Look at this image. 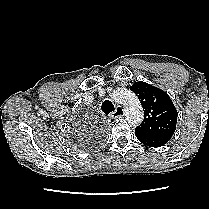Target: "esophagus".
I'll return each mask as SVG.
<instances>
[{
    "mask_svg": "<svg viewBox=\"0 0 209 209\" xmlns=\"http://www.w3.org/2000/svg\"><path fill=\"white\" fill-rule=\"evenodd\" d=\"M123 115H124V109H123V107L120 106V105H118V106L116 107L115 111H113V112L111 113V117H112V118H119V117H121V116H123Z\"/></svg>",
    "mask_w": 209,
    "mask_h": 209,
    "instance_id": "1",
    "label": "esophagus"
}]
</instances>
